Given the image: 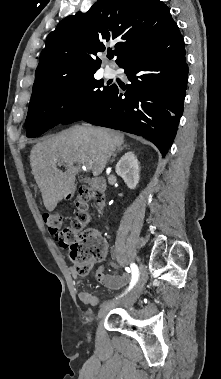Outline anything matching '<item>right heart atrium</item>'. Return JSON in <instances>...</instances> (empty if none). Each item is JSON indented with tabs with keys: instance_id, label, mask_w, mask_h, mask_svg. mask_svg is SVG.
Returning <instances> with one entry per match:
<instances>
[{
	"instance_id": "d8ad5b80",
	"label": "right heart atrium",
	"mask_w": 221,
	"mask_h": 379,
	"mask_svg": "<svg viewBox=\"0 0 221 379\" xmlns=\"http://www.w3.org/2000/svg\"><path fill=\"white\" fill-rule=\"evenodd\" d=\"M74 101V94L72 93H67L64 96L61 97V99L58 102V109L60 111H65L67 110L73 103Z\"/></svg>"
}]
</instances>
